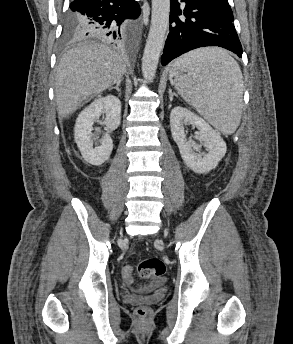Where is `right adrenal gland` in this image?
<instances>
[{
  "mask_svg": "<svg viewBox=\"0 0 293 344\" xmlns=\"http://www.w3.org/2000/svg\"><path fill=\"white\" fill-rule=\"evenodd\" d=\"M120 83H121V81H119L117 84H116V86L115 87H111L110 88V90H112V89H116L119 93L121 92V90H120V88H119V86H120Z\"/></svg>",
  "mask_w": 293,
  "mask_h": 344,
  "instance_id": "obj_1",
  "label": "right adrenal gland"
}]
</instances>
